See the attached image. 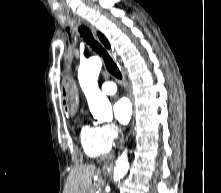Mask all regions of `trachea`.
Segmentation results:
<instances>
[{
    "label": "trachea",
    "instance_id": "obj_1",
    "mask_svg": "<svg viewBox=\"0 0 221 193\" xmlns=\"http://www.w3.org/2000/svg\"><path fill=\"white\" fill-rule=\"evenodd\" d=\"M79 33L83 37L84 41L103 58L106 69L109 73L118 79H122V74L119 68L101 45L94 40L90 30L85 26H81L79 27Z\"/></svg>",
    "mask_w": 221,
    "mask_h": 193
}]
</instances>
